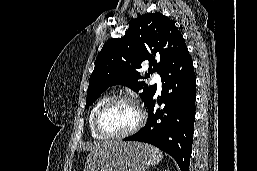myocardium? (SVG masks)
Instances as JSON below:
<instances>
[{"mask_svg":"<svg viewBox=\"0 0 257 171\" xmlns=\"http://www.w3.org/2000/svg\"><path fill=\"white\" fill-rule=\"evenodd\" d=\"M121 102L130 103L135 107V109L138 112V116H139L138 122L136 123V125L133 128H131L130 130H128L124 133H121V134L107 133L101 127V124H100L101 117H102L103 113L109 107H111L114 104L121 103ZM145 122H146V114H145V111L143 110V108L141 107V105L138 103V101L131 96L122 95V96H114V97L109 98L99 107V109L97 110L95 117H94V128H95L96 132L104 138L123 139V138L129 137V136L137 133L144 126Z\"/></svg>","mask_w":257,"mask_h":171,"instance_id":"myocardium-1","label":"myocardium"}]
</instances>
